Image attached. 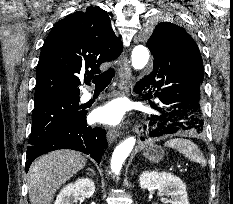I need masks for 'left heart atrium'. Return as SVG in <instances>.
Wrapping results in <instances>:
<instances>
[{
    "mask_svg": "<svg viewBox=\"0 0 233 204\" xmlns=\"http://www.w3.org/2000/svg\"><path fill=\"white\" fill-rule=\"evenodd\" d=\"M124 112V104L119 100H113L95 109L91 117L96 123L114 126L122 121Z\"/></svg>",
    "mask_w": 233,
    "mask_h": 204,
    "instance_id": "1",
    "label": "left heart atrium"
}]
</instances>
